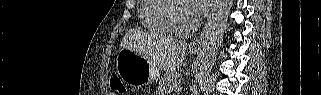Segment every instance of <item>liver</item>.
Returning <instances> with one entry per match:
<instances>
[{"label": "liver", "mask_w": 321, "mask_h": 95, "mask_svg": "<svg viewBox=\"0 0 321 95\" xmlns=\"http://www.w3.org/2000/svg\"><path fill=\"white\" fill-rule=\"evenodd\" d=\"M151 37L145 32L132 29L126 32L120 47L142 53L152 64L164 71L172 72L179 68L184 60L186 42L163 37L156 39L153 46L147 48Z\"/></svg>", "instance_id": "1"}]
</instances>
